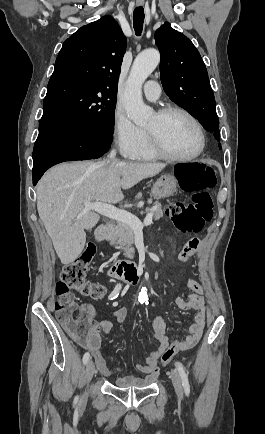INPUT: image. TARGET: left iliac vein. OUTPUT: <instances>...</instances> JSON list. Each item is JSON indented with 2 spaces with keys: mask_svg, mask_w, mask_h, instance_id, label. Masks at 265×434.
I'll return each mask as SVG.
<instances>
[{
  "mask_svg": "<svg viewBox=\"0 0 265 434\" xmlns=\"http://www.w3.org/2000/svg\"><path fill=\"white\" fill-rule=\"evenodd\" d=\"M171 380L174 386L175 393L179 400H182L183 398V389H182V383L180 380V377L178 373L175 370H172L171 372Z\"/></svg>",
  "mask_w": 265,
  "mask_h": 434,
  "instance_id": "1",
  "label": "left iliac vein"
}]
</instances>
